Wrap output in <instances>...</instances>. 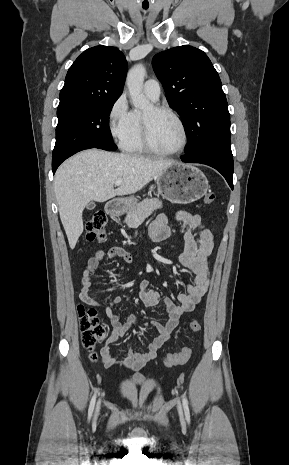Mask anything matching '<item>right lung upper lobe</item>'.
Wrapping results in <instances>:
<instances>
[{
    "instance_id": "cb5924a9",
    "label": "right lung upper lobe",
    "mask_w": 289,
    "mask_h": 465,
    "mask_svg": "<svg viewBox=\"0 0 289 465\" xmlns=\"http://www.w3.org/2000/svg\"><path fill=\"white\" fill-rule=\"evenodd\" d=\"M126 65L125 56L115 47L87 49L68 70L58 108L118 99L123 90Z\"/></svg>"
}]
</instances>
